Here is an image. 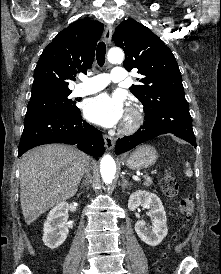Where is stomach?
<instances>
[{"label":"stomach","mask_w":221,"mask_h":274,"mask_svg":"<svg viewBox=\"0 0 221 274\" xmlns=\"http://www.w3.org/2000/svg\"><path fill=\"white\" fill-rule=\"evenodd\" d=\"M158 158L156 149L149 145H142L138 147L126 159V165L130 169L142 170L152 166Z\"/></svg>","instance_id":"obj_1"}]
</instances>
